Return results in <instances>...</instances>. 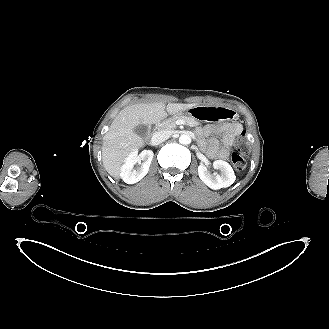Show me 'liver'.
<instances>
[{
  "label": "liver",
  "instance_id": "6515ba94",
  "mask_svg": "<svg viewBox=\"0 0 329 329\" xmlns=\"http://www.w3.org/2000/svg\"><path fill=\"white\" fill-rule=\"evenodd\" d=\"M194 106L195 104L182 103H168L165 106L163 102H154L123 108L103 138L102 159L106 171L115 179H119L121 166L129 153L145 145L144 140L134 132L136 126L155 124L168 114L176 116Z\"/></svg>",
  "mask_w": 329,
  "mask_h": 329
}]
</instances>
